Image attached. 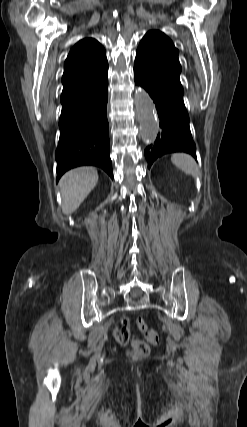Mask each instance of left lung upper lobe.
I'll list each match as a JSON object with an SVG mask.
<instances>
[{"label": "left lung upper lobe", "instance_id": "left-lung-upper-lobe-1", "mask_svg": "<svg viewBox=\"0 0 247 427\" xmlns=\"http://www.w3.org/2000/svg\"><path fill=\"white\" fill-rule=\"evenodd\" d=\"M178 53L172 41L164 33L153 30L141 40L135 60L143 63L170 85L183 90L179 79L181 65Z\"/></svg>", "mask_w": 247, "mask_h": 427}]
</instances>
